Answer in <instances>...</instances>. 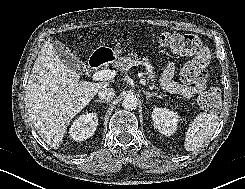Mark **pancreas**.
<instances>
[{
	"mask_svg": "<svg viewBox=\"0 0 245 189\" xmlns=\"http://www.w3.org/2000/svg\"><path fill=\"white\" fill-rule=\"evenodd\" d=\"M133 61H136L141 65H144L145 66L144 74L147 76L148 79L154 81L155 78L154 67L149 63V59L140 58L136 53L134 54L132 53L129 54L128 56L118 58L117 60L114 61L113 67L116 68L117 70H124L126 66Z\"/></svg>",
	"mask_w": 245,
	"mask_h": 189,
	"instance_id": "pancreas-1",
	"label": "pancreas"
}]
</instances>
